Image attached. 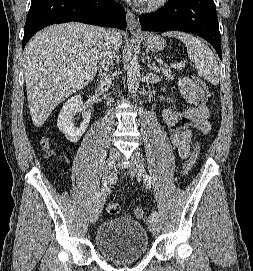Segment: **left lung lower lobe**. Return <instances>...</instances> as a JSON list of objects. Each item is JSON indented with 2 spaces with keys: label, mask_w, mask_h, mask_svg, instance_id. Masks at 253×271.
<instances>
[{
  "label": "left lung lower lobe",
  "mask_w": 253,
  "mask_h": 271,
  "mask_svg": "<svg viewBox=\"0 0 253 271\" xmlns=\"http://www.w3.org/2000/svg\"><path fill=\"white\" fill-rule=\"evenodd\" d=\"M139 22L147 31L179 30L203 37L222 59L221 36L213 0H169L159 12L141 15Z\"/></svg>",
  "instance_id": "0a47b994"
}]
</instances>
